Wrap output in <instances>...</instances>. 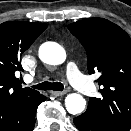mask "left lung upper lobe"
I'll use <instances>...</instances> for the list:
<instances>
[{"instance_id":"obj_1","label":"left lung upper lobe","mask_w":131,"mask_h":131,"mask_svg":"<svg viewBox=\"0 0 131 131\" xmlns=\"http://www.w3.org/2000/svg\"><path fill=\"white\" fill-rule=\"evenodd\" d=\"M84 46L88 72L100 73L101 98L89 99L87 110L117 131L131 127V39L118 25L88 18L68 25Z\"/></svg>"}]
</instances>
